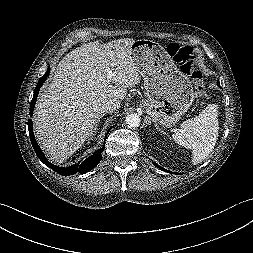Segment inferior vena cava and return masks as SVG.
<instances>
[{"label":"inferior vena cava","mask_w":253,"mask_h":253,"mask_svg":"<svg viewBox=\"0 0 253 253\" xmlns=\"http://www.w3.org/2000/svg\"><path fill=\"white\" fill-rule=\"evenodd\" d=\"M120 108V101L117 99L105 100L100 106L101 113L113 112Z\"/></svg>","instance_id":"602c4592"}]
</instances>
